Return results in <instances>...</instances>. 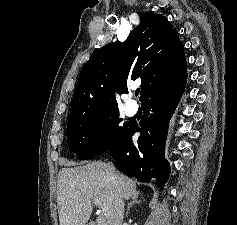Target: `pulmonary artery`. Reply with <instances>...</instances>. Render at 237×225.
I'll return each instance as SVG.
<instances>
[{
	"label": "pulmonary artery",
	"mask_w": 237,
	"mask_h": 225,
	"mask_svg": "<svg viewBox=\"0 0 237 225\" xmlns=\"http://www.w3.org/2000/svg\"><path fill=\"white\" fill-rule=\"evenodd\" d=\"M126 113L129 116L134 115L138 110V104L134 100H127L125 104Z\"/></svg>",
	"instance_id": "e3ab8cb5"
}]
</instances>
